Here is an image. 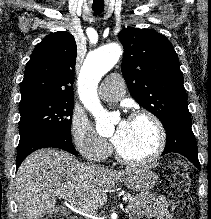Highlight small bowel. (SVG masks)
<instances>
[{"mask_svg":"<svg viewBox=\"0 0 211 219\" xmlns=\"http://www.w3.org/2000/svg\"><path fill=\"white\" fill-rule=\"evenodd\" d=\"M131 219H170L165 199L152 196L144 207L133 213Z\"/></svg>","mask_w":211,"mask_h":219,"instance_id":"small-bowel-1","label":"small bowel"}]
</instances>
